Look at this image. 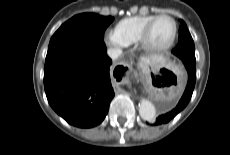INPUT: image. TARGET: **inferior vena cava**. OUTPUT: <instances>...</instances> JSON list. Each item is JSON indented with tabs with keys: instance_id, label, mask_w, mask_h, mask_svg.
<instances>
[{
	"instance_id": "1",
	"label": "inferior vena cava",
	"mask_w": 230,
	"mask_h": 155,
	"mask_svg": "<svg viewBox=\"0 0 230 155\" xmlns=\"http://www.w3.org/2000/svg\"><path fill=\"white\" fill-rule=\"evenodd\" d=\"M107 54L112 60H115L122 54V50L119 48H109Z\"/></svg>"
}]
</instances>
